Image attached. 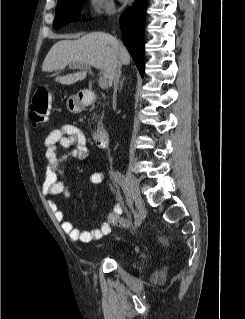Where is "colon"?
Wrapping results in <instances>:
<instances>
[{"label":"colon","mask_w":245,"mask_h":319,"mask_svg":"<svg viewBox=\"0 0 245 319\" xmlns=\"http://www.w3.org/2000/svg\"><path fill=\"white\" fill-rule=\"evenodd\" d=\"M51 95L47 87H39L34 93L31 100V120L35 124H40L46 121L50 113ZM118 225H123L124 222L117 221L116 217H113ZM165 244L168 242L163 240Z\"/></svg>","instance_id":"5ec220e1"}]
</instances>
